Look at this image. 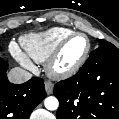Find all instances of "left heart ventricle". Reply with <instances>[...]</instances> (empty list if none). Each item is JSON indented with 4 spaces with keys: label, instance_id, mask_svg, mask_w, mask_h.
Masks as SVG:
<instances>
[{
    "label": "left heart ventricle",
    "instance_id": "obj_1",
    "mask_svg": "<svg viewBox=\"0 0 119 119\" xmlns=\"http://www.w3.org/2000/svg\"><path fill=\"white\" fill-rule=\"evenodd\" d=\"M87 47L86 39L77 36L72 38L64 47L58 61L59 68H68L74 65L84 54Z\"/></svg>",
    "mask_w": 119,
    "mask_h": 119
}]
</instances>
